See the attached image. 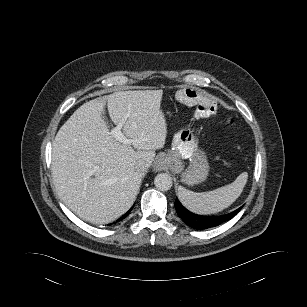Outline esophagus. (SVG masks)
Here are the masks:
<instances>
[{"label": "esophagus", "mask_w": 307, "mask_h": 307, "mask_svg": "<svg viewBox=\"0 0 307 307\" xmlns=\"http://www.w3.org/2000/svg\"><path fill=\"white\" fill-rule=\"evenodd\" d=\"M154 167H155V169L158 170V171L162 170L163 167H164V158H159V159L156 161Z\"/></svg>", "instance_id": "1"}]
</instances>
